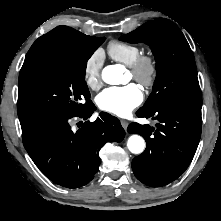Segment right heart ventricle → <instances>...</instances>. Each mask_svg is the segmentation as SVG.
Returning <instances> with one entry per match:
<instances>
[{"mask_svg": "<svg viewBox=\"0 0 221 221\" xmlns=\"http://www.w3.org/2000/svg\"><path fill=\"white\" fill-rule=\"evenodd\" d=\"M107 51L113 60L127 66H130L141 54L139 46L118 40L109 42Z\"/></svg>", "mask_w": 221, "mask_h": 221, "instance_id": "right-heart-ventricle-1", "label": "right heart ventricle"}]
</instances>
